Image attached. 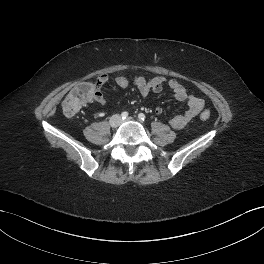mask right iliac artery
I'll use <instances>...</instances> for the list:
<instances>
[{
  "label": "right iliac artery",
  "mask_w": 264,
  "mask_h": 264,
  "mask_svg": "<svg viewBox=\"0 0 264 264\" xmlns=\"http://www.w3.org/2000/svg\"><path fill=\"white\" fill-rule=\"evenodd\" d=\"M128 117V112H122L121 113V118L126 119Z\"/></svg>",
  "instance_id": "82829eb1"
}]
</instances>
